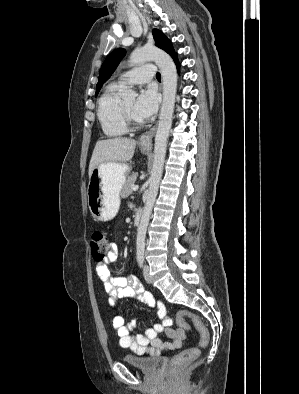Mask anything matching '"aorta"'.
<instances>
[{
	"instance_id": "762f6f07",
	"label": "aorta",
	"mask_w": 299,
	"mask_h": 394,
	"mask_svg": "<svg viewBox=\"0 0 299 394\" xmlns=\"http://www.w3.org/2000/svg\"><path fill=\"white\" fill-rule=\"evenodd\" d=\"M147 61H155L161 71L163 81V102L155 135L154 160L151 176L149 178L148 196L137 232V255H143L145 250L146 231L162 177L167 138L172 125L177 90V71L175 63L170 55L157 47H142L134 50L129 59L130 65H139ZM123 96L125 98L134 99L136 93L132 90H127L124 92Z\"/></svg>"
}]
</instances>
